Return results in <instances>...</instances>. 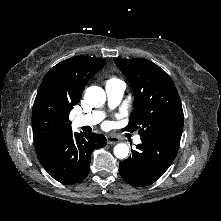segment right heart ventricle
I'll list each match as a JSON object with an SVG mask.
<instances>
[{
    "label": "right heart ventricle",
    "instance_id": "obj_1",
    "mask_svg": "<svg viewBox=\"0 0 221 221\" xmlns=\"http://www.w3.org/2000/svg\"><path fill=\"white\" fill-rule=\"evenodd\" d=\"M109 81H117V79H115V78H112V79H110ZM109 81H108V82H109Z\"/></svg>",
    "mask_w": 221,
    "mask_h": 221
}]
</instances>
